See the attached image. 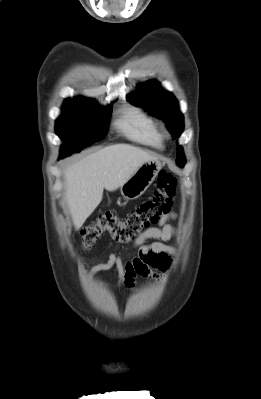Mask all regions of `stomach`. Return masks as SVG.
Returning <instances> with one entry per match:
<instances>
[{
    "mask_svg": "<svg viewBox=\"0 0 261 399\" xmlns=\"http://www.w3.org/2000/svg\"><path fill=\"white\" fill-rule=\"evenodd\" d=\"M162 165L159 160L143 163L137 171L120 187L122 196L127 200L139 198L152 184Z\"/></svg>",
    "mask_w": 261,
    "mask_h": 399,
    "instance_id": "obj_1",
    "label": "stomach"
}]
</instances>
